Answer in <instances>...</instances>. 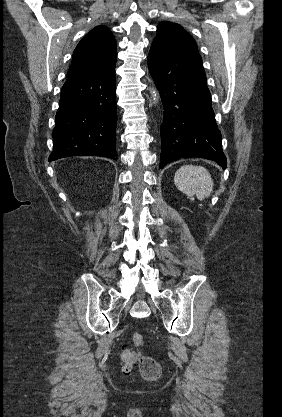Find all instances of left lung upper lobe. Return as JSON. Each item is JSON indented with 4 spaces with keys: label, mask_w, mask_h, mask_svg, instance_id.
Wrapping results in <instances>:
<instances>
[{
    "label": "left lung upper lobe",
    "mask_w": 282,
    "mask_h": 417,
    "mask_svg": "<svg viewBox=\"0 0 282 417\" xmlns=\"http://www.w3.org/2000/svg\"><path fill=\"white\" fill-rule=\"evenodd\" d=\"M153 45L158 47H176L191 51H197V44L179 24L163 21L157 26V36Z\"/></svg>",
    "instance_id": "obj_1"
}]
</instances>
